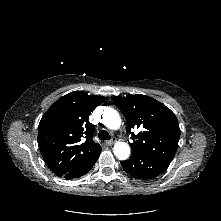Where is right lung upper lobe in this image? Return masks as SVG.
<instances>
[{
    "label": "right lung upper lobe",
    "mask_w": 221,
    "mask_h": 221,
    "mask_svg": "<svg viewBox=\"0 0 221 221\" xmlns=\"http://www.w3.org/2000/svg\"><path fill=\"white\" fill-rule=\"evenodd\" d=\"M102 96L74 91L58 99L43 115L38 144L50 170L61 177L101 152L92 139L90 113L104 102Z\"/></svg>",
    "instance_id": "1"
}]
</instances>
